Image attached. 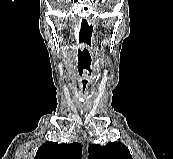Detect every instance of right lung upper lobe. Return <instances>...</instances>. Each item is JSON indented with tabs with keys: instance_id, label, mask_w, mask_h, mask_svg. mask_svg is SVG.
Returning <instances> with one entry per match:
<instances>
[{
	"instance_id": "right-lung-upper-lobe-1",
	"label": "right lung upper lobe",
	"mask_w": 173,
	"mask_h": 159,
	"mask_svg": "<svg viewBox=\"0 0 173 159\" xmlns=\"http://www.w3.org/2000/svg\"><path fill=\"white\" fill-rule=\"evenodd\" d=\"M81 156L82 148L78 143L46 142L40 146L34 159H81Z\"/></svg>"
}]
</instances>
